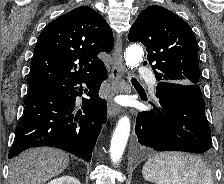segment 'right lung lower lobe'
I'll return each instance as SVG.
<instances>
[{
  "mask_svg": "<svg viewBox=\"0 0 224 184\" xmlns=\"http://www.w3.org/2000/svg\"><path fill=\"white\" fill-rule=\"evenodd\" d=\"M107 69L79 79L46 85L29 91L24 116L17 124L9 158L39 146H51L90 161L101 126L107 119V103L98 95ZM90 97L82 98V111L74 112L82 84Z\"/></svg>",
  "mask_w": 224,
  "mask_h": 184,
  "instance_id": "obj_1",
  "label": "right lung lower lobe"
}]
</instances>
